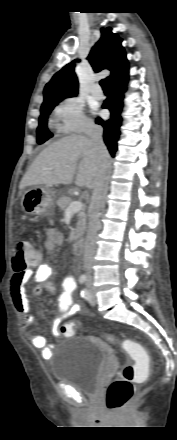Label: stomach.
Segmentation results:
<instances>
[{
    "mask_svg": "<svg viewBox=\"0 0 177 440\" xmlns=\"http://www.w3.org/2000/svg\"><path fill=\"white\" fill-rule=\"evenodd\" d=\"M53 196L54 192L47 186L30 188L22 196V210L32 216H52L55 209Z\"/></svg>",
    "mask_w": 177,
    "mask_h": 440,
    "instance_id": "obj_1",
    "label": "stomach"
}]
</instances>
